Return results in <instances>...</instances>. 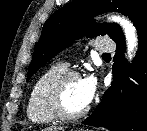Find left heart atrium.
<instances>
[{
  "label": "left heart atrium",
  "mask_w": 147,
  "mask_h": 131,
  "mask_svg": "<svg viewBox=\"0 0 147 131\" xmlns=\"http://www.w3.org/2000/svg\"><path fill=\"white\" fill-rule=\"evenodd\" d=\"M97 79L90 74L81 79V90L86 105L90 104L97 92Z\"/></svg>",
  "instance_id": "obj_1"
}]
</instances>
